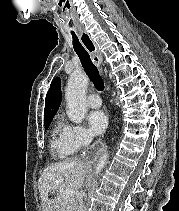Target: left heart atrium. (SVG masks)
Masks as SVG:
<instances>
[{
    "instance_id": "39dd6f15",
    "label": "left heart atrium",
    "mask_w": 179,
    "mask_h": 211,
    "mask_svg": "<svg viewBox=\"0 0 179 211\" xmlns=\"http://www.w3.org/2000/svg\"><path fill=\"white\" fill-rule=\"evenodd\" d=\"M87 122L90 132L93 135H100L107 127V116L102 111H92L87 116Z\"/></svg>"
}]
</instances>
